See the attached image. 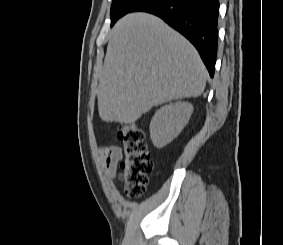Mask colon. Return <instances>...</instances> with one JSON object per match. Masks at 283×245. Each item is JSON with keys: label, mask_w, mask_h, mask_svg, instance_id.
Returning a JSON list of instances; mask_svg holds the SVG:
<instances>
[{"label": "colon", "mask_w": 283, "mask_h": 245, "mask_svg": "<svg viewBox=\"0 0 283 245\" xmlns=\"http://www.w3.org/2000/svg\"><path fill=\"white\" fill-rule=\"evenodd\" d=\"M117 135L122 143L123 157L120 168L125 193L130 198L140 197L145 191L152 170L145 134L135 124H124L119 127Z\"/></svg>", "instance_id": "colon-1"}]
</instances>
